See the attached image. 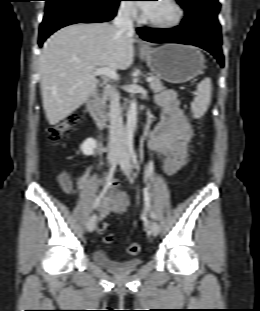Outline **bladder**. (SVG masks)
Instances as JSON below:
<instances>
[{"label":"bladder","instance_id":"31cf9c89","mask_svg":"<svg viewBox=\"0 0 260 311\" xmlns=\"http://www.w3.org/2000/svg\"><path fill=\"white\" fill-rule=\"evenodd\" d=\"M91 258L96 264L113 272L136 270L143 261L141 258L116 261L106 251L98 248L92 251Z\"/></svg>","mask_w":260,"mask_h":311}]
</instances>
